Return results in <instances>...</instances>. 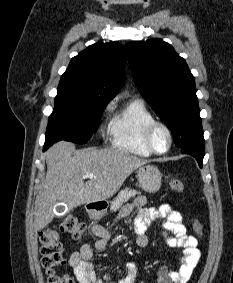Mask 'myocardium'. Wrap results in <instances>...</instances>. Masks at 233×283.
<instances>
[{"mask_svg":"<svg viewBox=\"0 0 233 283\" xmlns=\"http://www.w3.org/2000/svg\"><path fill=\"white\" fill-rule=\"evenodd\" d=\"M158 128L163 129L167 133V136H168V139H169L168 146L163 151L157 150L154 147L153 142H152L153 134L156 131V129H158ZM143 142H144V145L146 146V148L152 154L163 155V154H166L167 152H169V150L171 149V147L173 145V134H172L171 129L164 122L154 120L145 127V129L143 131Z\"/></svg>","mask_w":233,"mask_h":283,"instance_id":"myocardium-1","label":"myocardium"}]
</instances>
